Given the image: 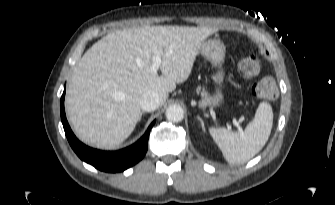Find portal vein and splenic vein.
<instances>
[{"instance_id":"portal-vein-and-splenic-vein-1","label":"portal vein and splenic vein","mask_w":335,"mask_h":205,"mask_svg":"<svg viewBox=\"0 0 335 205\" xmlns=\"http://www.w3.org/2000/svg\"><path fill=\"white\" fill-rule=\"evenodd\" d=\"M160 65H161V52L156 51L155 52V56L153 57V62H152V65H151V70L153 72H157L158 69H159V67H160ZM239 130L241 131L242 129L239 128Z\"/></svg>"}]
</instances>
